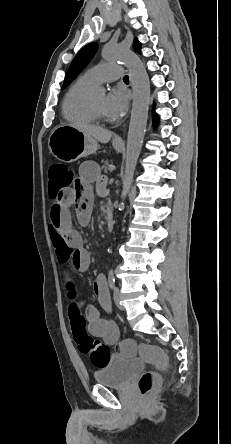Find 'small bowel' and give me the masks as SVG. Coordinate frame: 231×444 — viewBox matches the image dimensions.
<instances>
[{"label":"small bowel","mask_w":231,"mask_h":444,"mask_svg":"<svg viewBox=\"0 0 231 444\" xmlns=\"http://www.w3.org/2000/svg\"><path fill=\"white\" fill-rule=\"evenodd\" d=\"M96 183L100 195L107 193L106 180L100 175L98 166L90 161L84 162L79 168L78 179L72 188L67 189L58 203L52 201L50 207L49 233L57 255L62 264H69L77 271H86L90 265V254L83 247V239L72 227L70 207H74L76 217L81 225H86L91 216L93 204L92 184ZM63 279L69 298L75 300L80 309L81 301H76L77 289L71 273L63 270ZM94 290L100 302L108 307L109 295L103 277L94 283ZM87 329L95 337L102 338L107 344H115L119 339V329L116 323L100 316V311L93 305L84 308Z\"/></svg>","instance_id":"small-bowel-1"}]
</instances>
